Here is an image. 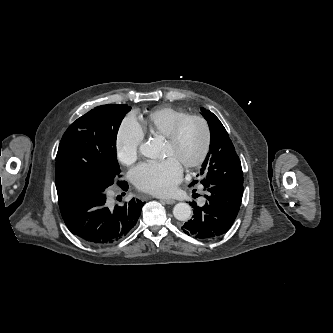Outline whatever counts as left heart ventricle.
<instances>
[{
	"label": "left heart ventricle",
	"mask_w": 333,
	"mask_h": 333,
	"mask_svg": "<svg viewBox=\"0 0 333 333\" xmlns=\"http://www.w3.org/2000/svg\"><path fill=\"white\" fill-rule=\"evenodd\" d=\"M203 130L199 123L191 121L183 128L175 146L165 144V157H172L184 166L194 161L201 152Z\"/></svg>",
	"instance_id": "1"
}]
</instances>
